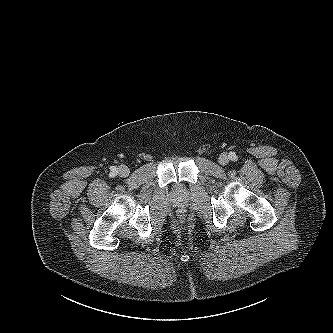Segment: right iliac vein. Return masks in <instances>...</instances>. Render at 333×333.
<instances>
[{"label": "right iliac vein", "mask_w": 333, "mask_h": 333, "mask_svg": "<svg viewBox=\"0 0 333 333\" xmlns=\"http://www.w3.org/2000/svg\"><path fill=\"white\" fill-rule=\"evenodd\" d=\"M118 174L122 177H127L130 174V170L126 166H120L118 169Z\"/></svg>", "instance_id": "right-iliac-vein-1"}]
</instances>
